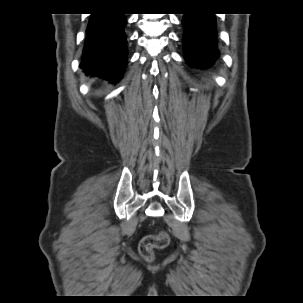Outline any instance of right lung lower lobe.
<instances>
[{
  "label": "right lung lower lobe",
  "mask_w": 303,
  "mask_h": 303,
  "mask_svg": "<svg viewBox=\"0 0 303 303\" xmlns=\"http://www.w3.org/2000/svg\"><path fill=\"white\" fill-rule=\"evenodd\" d=\"M127 19L123 14H92L80 68L86 74L117 82L127 64Z\"/></svg>",
  "instance_id": "1"
}]
</instances>
